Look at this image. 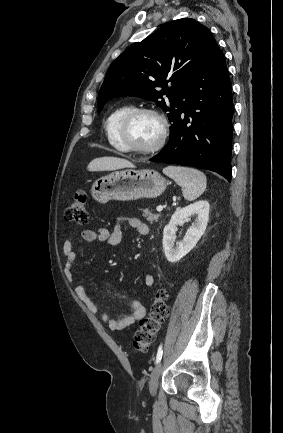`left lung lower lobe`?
Here are the masks:
<instances>
[{
    "label": "left lung lower lobe",
    "mask_w": 283,
    "mask_h": 433,
    "mask_svg": "<svg viewBox=\"0 0 283 433\" xmlns=\"http://www.w3.org/2000/svg\"><path fill=\"white\" fill-rule=\"evenodd\" d=\"M187 107L154 162L193 166L231 181L233 101L225 58L215 44L187 88Z\"/></svg>",
    "instance_id": "left-lung-lower-lobe-1"
}]
</instances>
